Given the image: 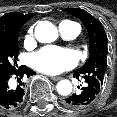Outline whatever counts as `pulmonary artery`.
Here are the masks:
<instances>
[{
    "label": "pulmonary artery",
    "mask_w": 117,
    "mask_h": 117,
    "mask_svg": "<svg viewBox=\"0 0 117 117\" xmlns=\"http://www.w3.org/2000/svg\"><path fill=\"white\" fill-rule=\"evenodd\" d=\"M59 30L65 39H74L79 34L80 27L79 25L61 23L59 25Z\"/></svg>",
    "instance_id": "obj_1"
}]
</instances>
